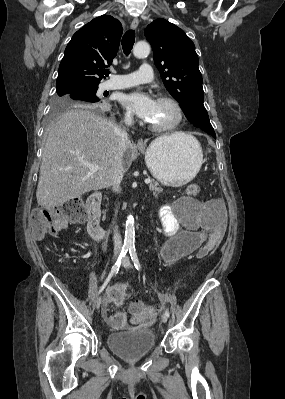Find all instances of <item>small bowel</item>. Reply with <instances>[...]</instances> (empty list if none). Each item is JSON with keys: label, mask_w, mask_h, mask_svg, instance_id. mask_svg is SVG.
Returning <instances> with one entry per match:
<instances>
[{"label": "small bowel", "mask_w": 285, "mask_h": 399, "mask_svg": "<svg viewBox=\"0 0 285 399\" xmlns=\"http://www.w3.org/2000/svg\"><path fill=\"white\" fill-rule=\"evenodd\" d=\"M224 209L221 201L211 200L203 206L191 204L183 211L184 221L164 207L159 212L163 225V233L168 241L163 245L160 259L165 266L171 265L176 259L191 254L198 249L207 238L217 236L222 238L224 228ZM202 257L200 249L197 253ZM128 298V287L125 283L114 284L106 293L102 308V317L106 323L117 330L128 329L126 313L121 310ZM116 309L114 313L110 308ZM139 320L138 323H142Z\"/></svg>", "instance_id": "c3829d8e"}]
</instances>
